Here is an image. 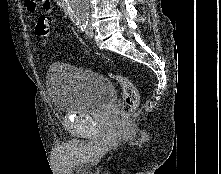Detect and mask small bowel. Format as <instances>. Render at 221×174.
Returning <instances> with one entry per match:
<instances>
[{
	"mask_svg": "<svg viewBox=\"0 0 221 174\" xmlns=\"http://www.w3.org/2000/svg\"><path fill=\"white\" fill-rule=\"evenodd\" d=\"M43 10L50 13L53 9L51 0H41L40 1ZM39 2L37 0H26L25 7L29 13H35L38 9Z\"/></svg>",
	"mask_w": 221,
	"mask_h": 174,
	"instance_id": "small-bowel-1",
	"label": "small bowel"
}]
</instances>
